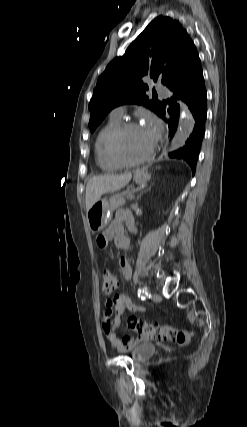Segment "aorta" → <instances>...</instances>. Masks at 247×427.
<instances>
[{
  "label": "aorta",
  "mask_w": 247,
  "mask_h": 427,
  "mask_svg": "<svg viewBox=\"0 0 247 427\" xmlns=\"http://www.w3.org/2000/svg\"><path fill=\"white\" fill-rule=\"evenodd\" d=\"M194 125L195 120L191 112L189 111L188 107L183 104L181 106L178 128L170 144V151H175L185 144L186 139L193 131Z\"/></svg>",
  "instance_id": "aorta-1"
}]
</instances>
